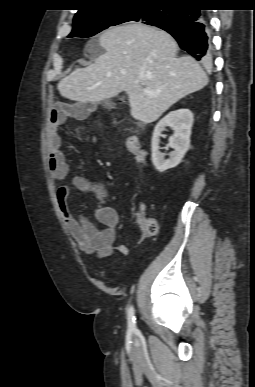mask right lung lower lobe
Masks as SVG:
<instances>
[{"label":"right lung lower lobe","instance_id":"98d812e1","mask_svg":"<svg viewBox=\"0 0 255 387\" xmlns=\"http://www.w3.org/2000/svg\"><path fill=\"white\" fill-rule=\"evenodd\" d=\"M197 5L175 8L176 18L159 28L170 33L181 49L203 64L212 61L210 27L207 16Z\"/></svg>","mask_w":255,"mask_h":387}]
</instances>
